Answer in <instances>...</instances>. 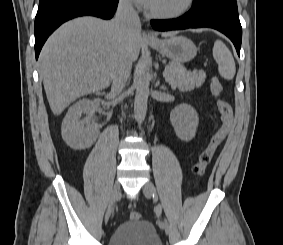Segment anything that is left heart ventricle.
<instances>
[{
	"label": "left heart ventricle",
	"mask_w": 283,
	"mask_h": 245,
	"mask_svg": "<svg viewBox=\"0 0 283 245\" xmlns=\"http://www.w3.org/2000/svg\"><path fill=\"white\" fill-rule=\"evenodd\" d=\"M184 0H153L150 9L156 11H171L178 8Z\"/></svg>",
	"instance_id": "obj_1"
}]
</instances>
